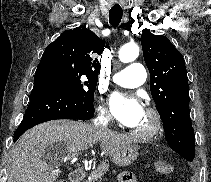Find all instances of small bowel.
Segmentation results:
<instances>
[{"label": "small bowel", "instance_id": "small-bowel-1", "mask_svg": "<svg viewBox=\"0 0 211 182\" xmlns=\"http://www.w3.org/2000/svg\"><path fill=\"white\" fill-rule=\"evenodd\" d=\"M118 180V182H137L134 176L129 172L121 173Z\"/></svg>", "mask_w": 211, "mask_h": 182}]
</instances>
